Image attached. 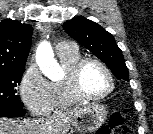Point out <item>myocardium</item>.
I'll list each match as a JSON object with an SVG mask.
<instances>
[{"mask_svg": "<svg viewBox=\"0 0 153 134\" xmlns=\"http://www.w3.org/2000/svg\"><path fill=\"white\" fill-rule=\"evenodd\" d=\"M88 64L98 65L107 74L110 80V87L106 92L99 95H88L83 91L81 86V76L84 68ZM65 82L69 94L78 102L102 100L112 94L116 86L115 77L109 67L103 61L94 57L80 58L67 72Z\"/></svg>", "mask_w": 153, "mask_h": 134, "instance_id": "1", "label": "myocardium"}]
</instances>
